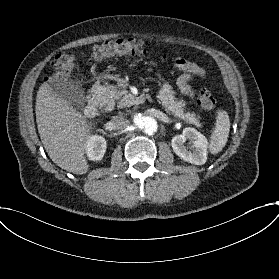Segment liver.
<instances>
[{
	"label": "liver",
	"mask_w": 279,
	"mask_h": 279,
	"mask_svg": "<svg viewBox=\"0 0 279 279\" xmlns=\"http://www.w3.org/2000/svg\"><path fill=\"white\" fill-rule=\"evenodd\" d=\"M36 121L49 158L61 169L83 175L89 171L86 143L96 125L43 83L37 94Z\"/></svg>",
	"instance_id": "1"
}]
</instances>
